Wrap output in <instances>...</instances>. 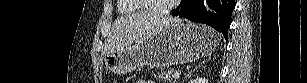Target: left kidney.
I'll list each match as a JSON object with an SVG mask.
<instances>
[{"mask_svg": "<svg viewBox=\"0 0 307 83\" xmlns=\"http://www.w3.org/2000/svg\"><path fill=\"white\" fill-rule=\"evenodd\" d=\"M190 83H208V80L206 78L199 77L191 80Z\"/></svg>", "mask_w": 307, "mask_h": 83, "instance_id": "obj_1", "label": "left kidney"}]
</instances>
